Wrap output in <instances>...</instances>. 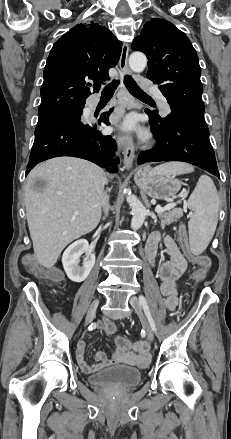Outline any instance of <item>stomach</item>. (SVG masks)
Here are the masks:
<instances>
[{"label": "stomach", "instance_id": "1", "mask_svg": "<svg viewBox=\"0 0 231 439\" xmlns=\"http://www.w3.org/2000/svg\"><path fill=\"white\" fill-rule=\"evenodd\" d=\"M134 180L143 193L159 200L174 198L181 188L174 175L156 173L148 166L136 169Z\"/></svg>", "mask_w": 231, "mask_h": 439}]
</instances>
